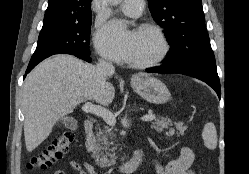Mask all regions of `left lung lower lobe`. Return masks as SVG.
Listing matches in <instances>:
<instances>
[{
  "label": "left lung lower lobe",
  "mask_w": 249,
  "mask_h": 174,
  "mask_svg": "<svg viewBox=\"0 0 249 174\" xmlns=\"http://www.w3.org/2000/svg\"><path fill=\"white\" fill-rule=\"evenodd\" d=\"M146 71L149 73H177L188 75L206 82L216 91L219 98L221 96L220 81L217 74L215 61H196L184 64L179 67H170L164 64L161 67L147 69Z\"/></svg>",
  "instance_id": "obj_1"
}]
</instances>
